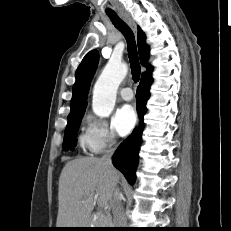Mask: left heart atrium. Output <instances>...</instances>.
<instances>
[{"mask_svg": "<svg viewBox=\"0 0 231 231\" xmlns=\"http://www.w3.org/2000/svg\"><path fill=\"white\" fill-rule=\"evenodd\" d=\"M136 122V114L132 106L123 105L113 117V125L118 134L125 136L131 132Z\"/></svg>", "mask_w": 231, "mask_h": 231, "instance_id": "obj_1", "label": "left heart atrium"}]
</instances>
